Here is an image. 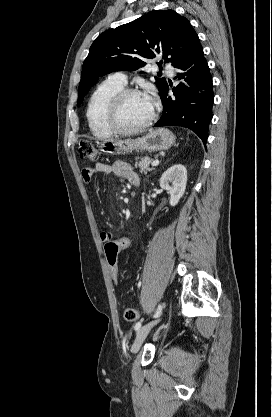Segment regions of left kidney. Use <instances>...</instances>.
I'll list each match as a JSON object with an SVG mask.
<instances>
[{
    "label": "left kidney",
    "instance_id": "obj_1",
    "mask_svg": "<svg viewBox=\"0 0 272 417\" xmlns=\"http://www.w3.org/2000/svg\"><path fill=\"white\" fill-rule=\"evenodd\" d=\"M187 183V169L176 164L167 169L160 178V187L170 194V205L176 206L184 195Z\"/></svg>",
    "mask_w": 272,
    "mask_h": 417
}]
</instances>
